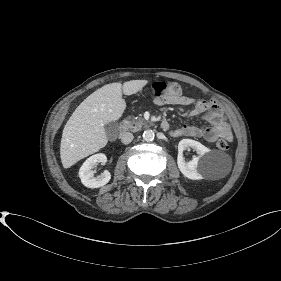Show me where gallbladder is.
I'll return each instance as SVG.
<instances>
[{
    "instance_id": "bac80fb5",
    "label": "gallbladder",
    "mask_w": 281,
    "mask_h": 281,
    "mask_svg": "<svg viewBox=\"0 0 281 281\" xmlns=\"http://www.w3.org/2000/svg\"><path fill=\"white\" fill-rule=\"evenodd\" d=\"M105 132L108 137L115 136L118 132V123L110 122L105 125Z\"/></svg>"
}]
</instances>
